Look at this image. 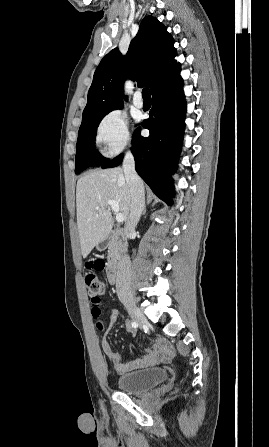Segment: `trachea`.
<instances>
[{"label": "trachea", "instance_id": "3493384b", "mask_svg": "<svg viewBox=\"0 0 269 447\" xmlns=\"http://www.w3.org/2000/svg\"><path fill=\"white\" fill-rule=\"evenodd\" d=\"M142 97L144 100H151L150 90L148 88L142 90Z\"/></svg>", "mask_w": 269, "mask_h": 447}]
</instances>
